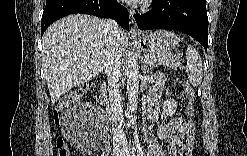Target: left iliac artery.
I'll return each instance as SVG.
<instances>
[{
	"label": "left iliac artery",
	"instance_id": "44dca946",
	"mask_svg": "<svg viewBox=\"0 0 247 156\" xmlns=\"http://www.w3.org/2000/svg\"><path fill=\"white\" fill-rule=\"evenodd\" d=\"M135 144H136V149H137L138 156H143L144 154H143V151H142V148H141V145H140L138 139L135 141Z\"/></svg>",
	"mask_w": 247,
	"mask_h": 156
}]
</instances>
